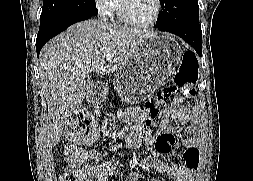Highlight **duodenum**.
<instances>
[{
    "instance_id": "1",
    "label": "duodenum",
    "mask_w": 253,
    "mask_h": 181,
    "mask_svg": "<svg viewBox=\"0 0 253 181\" xmlns=\"http://www.w3.org/2000/svg\"><path fill=\"white\" fill-rule=\"evenodd\" d=\"M105 94H106V87L103 84L95 85L88 92V96L93 102H101Z\"/></svg>"
}]
</instances>
